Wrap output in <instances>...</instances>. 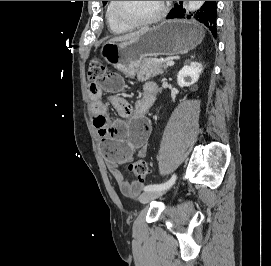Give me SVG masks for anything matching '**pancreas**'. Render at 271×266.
Masks as SVG:
<instances>
[{
  "instance_id": "pancreas-1",
  "label": "pancreas",
  "mask_w": 271,
  "mask_h": 266,
  "mask_svg": "<svg viewBox=\"0 0 271 266\" xmlns=\"http://www.w3.org/2000/svg\"><path fill=\"white\" fill-rule=\"evenodd\" d=\"M168 69V66L162 61L155 58H145L142 60L139 67V76L141 78L155 77L163 74Z\"/></svg>"
}]
</instances>
